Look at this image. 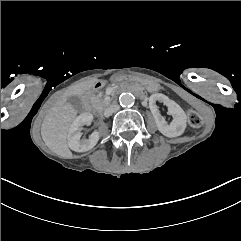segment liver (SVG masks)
<instances>
[{
    "label": "liver",
    "instance_id": "liver-1",
    "mask_svg": "<svg viewBox=\"0 0 241 241\" xmlns=\"http://www.w3.org/2000/svg\"><path fill=\"white\" fill-rule=\"evenodd\" d=\"M97 78L85 80L67 90L50 108L41 127V135L48 146L57 155L70 159L73 157L68 147L67 137L70 126L75 120L78 111L68 102L71 96L81 97L95 88Z\"/></svg>",
    "mask_w": 241,
    "mask_h": 241
}]
</instances>
